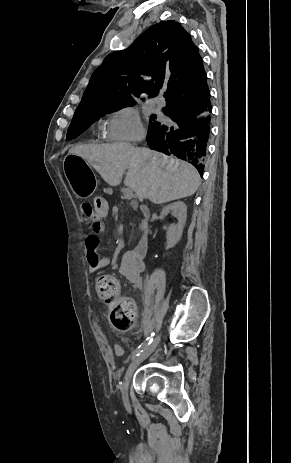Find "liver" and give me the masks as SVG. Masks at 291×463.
<instances>
[{"label":"liver","mask_w":291,"mask_h":463,"mask_svg":"<svg viewBox=\"0 0 291 463\" xmlns=\"http://www.w3.org/2000/svg\"><path fill=\"white\" fill-rule=\"evenodd\" d=\"M91 164L111 186L124 184L156 204L192 196L200 185L197 170L184 161L127 143L78 145L69 150Z\"/></svg>","instance_id":"1"}]
</instances>
